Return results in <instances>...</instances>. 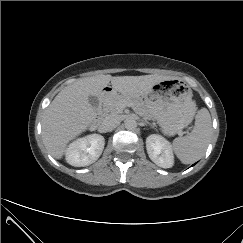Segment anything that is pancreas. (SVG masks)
Masks as SVG:
<instances>
[{"label":"pancreas","instance_id":"obj_1","mask_svg":"<svg viewBox=\"0 0 243 243\" xmlns=\"http://www.w3.org/2000/svg\"><path fill=\"white\" fill-rule=\"evenodd\" d=\"M120 104H125L126 106H131L134 111L145 118H151L152 116L149 114L148 110L146 109L144 103L139 98H129L122 95H116L112 99L104 105V112L111 113V114H120L122 113L123 109L121 108Z\"/></svg>","mask_w":243,"mask_h":243}]
</instances>
